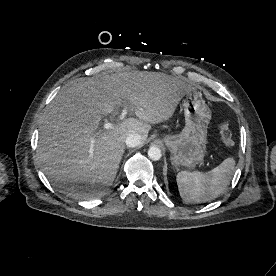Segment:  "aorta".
Wrapping results in <instances>:
<instances>
[{
	"instance_id": "1",
	"label": "aorta",
	"mask_w": 276,
	"mask_h": 276,
	"mask_svg": "<svg viewBox=\"0 0 276 276\" xmlns=\"http://www.w3.org/2000/svg\"><path fill=\"white\" fill-rule=\"evenodd\" d=\"M148 156L151 160L158 161L162 157L160 148L156 146H151L148 150Z\"/></svg>"
}]
</instances>
